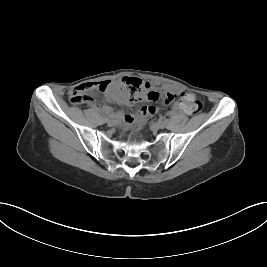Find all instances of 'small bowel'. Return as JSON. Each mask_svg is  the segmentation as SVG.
<instances>
[{"label":"small bowel","mask_w":267,"mask_h":267,"mask_svg":"<svg viewBox=\"0 0 267 267\" xmlns=\"http://www.w3.org/2000/svg\"><path fill=\"white\" fill-rule=\"evenodd\" d=\"M100 83H102V82H89V83H86V84H88L93 90H98V85ZM81 85H79V86H81ZM77 87H75V88H77ZM163 89L168 91L172 95H178V94L182 93V91L179 88H176V87H173V86L166 85V86L163 87ZM72 90L69 91V96H70ZM111 96L120 104H128V98H127L126 93L121 91V90H119V89L114 91L111 94ZM99 108L101 110L105 111V112H109L110 109H111L106 104H101L99 106ZM181 109H183L181 104H177V105H175L173 107V111H175V112H179V111H181ZM155 112H156V108L154 106L145 105V106L141 107V109L139 110L138 113H136V114H126V115L123 116V119H124V121L126 123H132L136 118L152 115Z\"/></svg>","instance_id":"1"}]
</instances>
